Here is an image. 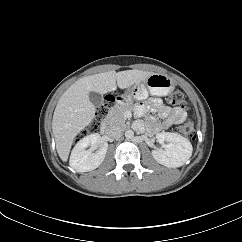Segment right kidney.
<instances>
[{
    "label": "right kidney",
    "mask_w": 242,
    "mask_h": 242,
    "mask_svg": "<svg viewBox=\"0 0 242 242\" xmlns=\"http://www.w3.org/2000/svg\"><path fill=\"white\" fill-rule=\"evenodd\" d=\"M99 139L100 135L93 133L78 141L70 155L69 164L71 168L78 172H86L97 168L101 164L107 151L106 145L102 146L96 153L85 150L88 146H96Z\"/></svg>",
    "instance_id": "right-kidney-1"
}]
</instances>
